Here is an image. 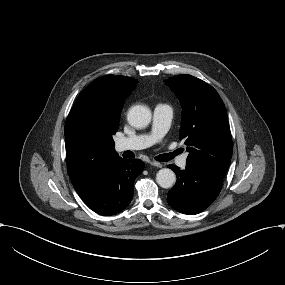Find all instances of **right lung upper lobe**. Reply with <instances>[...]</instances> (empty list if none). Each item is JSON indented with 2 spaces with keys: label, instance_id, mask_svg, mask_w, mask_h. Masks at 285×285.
I'll return each mask as SVG.
<instances>
[{
  "label": "right lung upper lobe",
  "instance_id": "1",
  "mask_svg": "<svg viewBox=\"0 0 285 285\" xmlns=\"http://www.w3.org/2000/svg\"><path fill=\"white\" fill-rule=\"evenodd\" d=\"M137 83L127 76L99 77L84 89L72 107L67 121L73 120L79 133L65 131L66 160L79 196L121 159L112 136L119 127L123 103Z\"/></svg>",
  "mask_w": 285,
  "mask_h": 285
}]
</instances>
